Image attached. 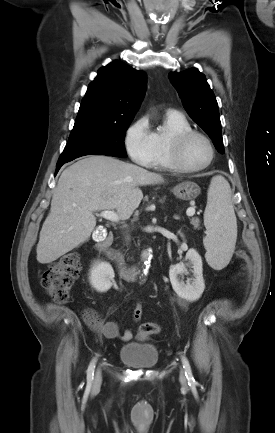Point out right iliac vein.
Listing matches in <instances>:
<instances>
[{"instance_id": "1", "label": "right iliac vein", "mask_w": 275, "mask_h": 433, "mask_svg": "<svg viewBox=\"0 0 275 433\" xmlns=\"http://www.w3.org/2000/svg\"><path fill=\"white\" fill-rule=\"evenodd\" d=\"M102 381V376H101V371L97 370L95 377H94V381H93V386L94 387H99Z\"/></svg>"}]
</instances>
